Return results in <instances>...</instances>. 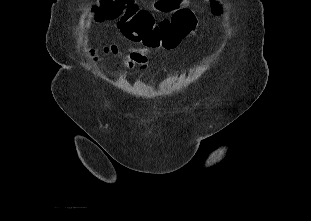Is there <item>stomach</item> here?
Segmentation results:
<instances>
[{
	"instance_id": "stomach-1",
	"label": "stomach",
	"mask_w": 311,
	"mask_h": 221,
	"mask_svg": "<svg viewBox=\"0 0 311 221\" xmlns=\"http://www.w3.org/2000/svg\"><path fill=\"white\" fill-rule=\"evenodd\" d=\"M155 10H163V8H169V10H175L181 6L183 0H153ZM165 4V6H162Z\"/></svg>"
}]
</instances>
